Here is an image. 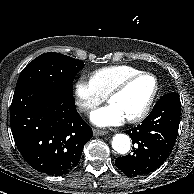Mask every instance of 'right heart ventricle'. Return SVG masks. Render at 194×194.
<instances>
[{
  "instance_id": "obj_1",
  "label": "right heart ventricle",
  "mask_w": 194,
  "mask_h": 194,
  "mask_svg": "<svg viewBox=\"0 0 194 194\" xmlns=\"http://www.w3.org/2000/svg\"><path fill=\"white\" fill-rule=\"evenodd\" d=\"M140 72L128 65L107 66L91 73L90 81L96 91L106 97L123 79Z\"/></svg>"
}]
</instances>
